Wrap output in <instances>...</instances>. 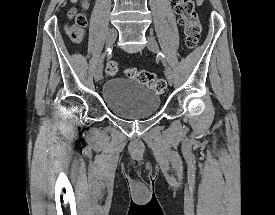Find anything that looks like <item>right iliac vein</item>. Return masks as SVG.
<instances>
[{"label": "right iliac vein", "mask_w": 275, "mask_h": 215, "mask_svg": "<svg viewBox=\"0 0 275 215\" xmlns=\"http://www.w3.org/2000/svg\"><path fill=\"white\" fill-rule=\"evenodd\" d=\"M116 38H117V31L113 28L110 29L108 34H107V38H106L107 47H112L113 44L115 43ZM103 61H104V57H102L99 60L98 65L96 67V71H95V75H94L95 81H99L102 77V74H103Z\"/></svg>", "instance_id": "right-iliac-vein-1"}]
</instances>
